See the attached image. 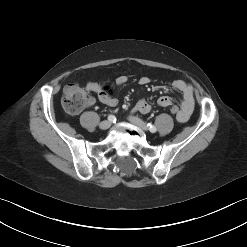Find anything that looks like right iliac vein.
Listing matches in <instances>:
<instances>
[{
  "label": "right iliac vein",
  "mask_w": 247,
  "mask_h": 247,
  "mask_svg": "<svg viewBox=\"0 0 247 247\" xmlns=\"http://www.w3.org/2000/svg\"><path fill=\"white\" fill-rule=\"evenodd\" d=\"M111 126V122L108 120L102 121L99 125L100 129L106 130Z\"/></svg>",
  "instance_id": "right-iliac-vein-1"
}]
</instances>
